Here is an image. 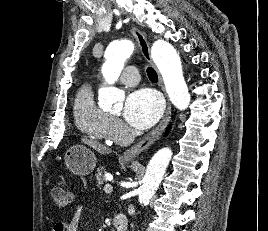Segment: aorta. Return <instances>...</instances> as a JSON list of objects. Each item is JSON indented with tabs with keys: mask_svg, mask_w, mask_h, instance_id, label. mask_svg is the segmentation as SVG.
Instances as JSON below:
<instances>
[{
	"mask_svg": "<svg viewBox=\"0 0 268 231\" xmlns=\"http://www.w3.org/2000/svg\"><path fill=\"white\" fill-rule=\"evenodd\" d=\"M133 49L129 41H116L107 47L106 61L102 66L105 84L112 85L118 80L125 61L131 57ZM151 57L163 77L172 104L179 110L187 109L190 95L176 49L167 41L157 40L152 45ZM107 85L99 89V106L102 108L113 106V109H121L125 97L124 92ZM171 157V149L165 147L158 150L149 161L142 185L138 189V200L141 204L149 202L157 191Z\"/></svg>",
	"mask_w": 268,
	"mask_h": 231,
	"instance_id": "aorta-1",
	"label": "aorta"
}]
</instances>
